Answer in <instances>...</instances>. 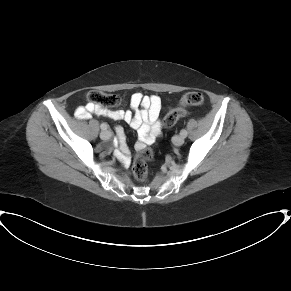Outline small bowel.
Returning a JSON list of instances; mask_svg holds the SVG:
<instances>
[{
	"instance_id": "small-bowel-1",
	"label": "small bowel",
	"mask_w": 291,
	"mask_h": 291,
	"mask_svg": "<svg viewBox=\"0 0 291 291\" xmlns=\"http://www.w3.org/2000/svg\"><path fill=\"white\" fill-rule=\"evenodd\" d=\"M130 107L131 110H102L87 104L77 107L75 115L78 118H88L92 114L102 115L112 120L126 122L137 130L140 140L136 143V149H142L151 144L155 137L161 133L159 115L162 110V102L156 95L144 96L142 93L136 92L130 98ZM117 132L121 134L122 129L120 127L117 128ZM119 145L120 152L117 153V156L126 166H129L131 159L130 149L123 138H120Z\"/></svg>"
}]
</instances>
